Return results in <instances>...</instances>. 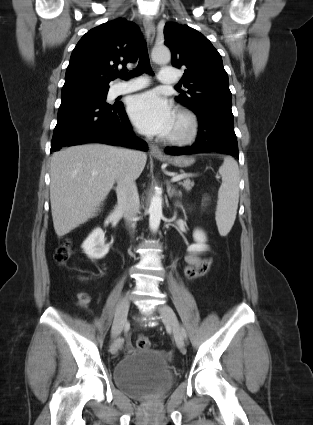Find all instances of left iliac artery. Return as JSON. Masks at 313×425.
<instances>
[{"label": "left iliac artery", "mask_w": 313, "mask_h": 425, "mask_svg": "<svg viewBox=\"0 0 313 425\" xmlns=\"http://www.w3.org/2000/svg\"><path fill=\"white\" fill-rule=\"evenodd\" d=\"M182 334L185 338H187V333L183 327H181Z\"/></svg>", "instance_id": "44dca946"}]
</instances>
